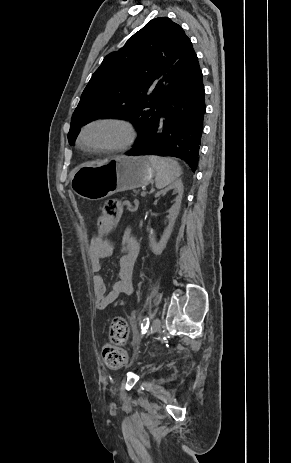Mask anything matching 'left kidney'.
I'll return each instance as SVG.
<instances>
[{
  "instance_id": "5707ae66",
  "label": "left kidney",
  "mask_w": 291,
  "mask_h": 463,
  "mask_svg": "<svg viewBox=\"0 0 291 463\" xmlns=\"http://www.w3.org/2000/svg\"><path fill=\"white\" fill-rule=\"evenodd\" d=\"M171 189H173L174 192L177 194V198H176L175 203L172 205V207L169 210V215H168L169 223H168V226L164 230L163 235H162L159 242H156V240H155V238L153 236H151V235L149 236L151 250H152V252L154 254H157V255L161 254L162 251L164 250V248L166 247V244H167L168 239L170 238V235H171L175 220H176V218H177V216L179 214L182 195H183V190H184L183 189V183H182L181 180L175 181L174 183L169 185L164 190H162V191L155 194V197H159L161 194H163V193H165V192H167V191H169Z\"/></svg>"
}]
</instances>
